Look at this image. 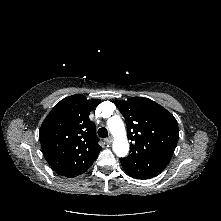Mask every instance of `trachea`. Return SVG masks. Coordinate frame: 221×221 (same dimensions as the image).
<instances>
[{
	"instance_id": "1",
	"label": "trachea",
	"mask_w": 221,
	"mask_h": 221,
	"mask_svg": "<svg viewBox=\"0 0 221 221\" xmlns=\"http://www.w3.org/2000/svg\"><path fill=\"white\" fill-rule=\"evenodd\" d=\"M98 135H99V137H101V138H106V137H108V131H107V129L104 128V127L99 128V130H98Z\"/></svg>"
}]
</instances>
